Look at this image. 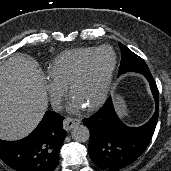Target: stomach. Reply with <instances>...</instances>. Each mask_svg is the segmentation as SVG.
<instances>
[{
    "label": "stomach",
    "instance_id": "stomach-1",
    "mask_svg": "<svg viewBox=\"0 0 171 171\" xmlns=\"http://www.w3.org/2000/svg\"><path fill=\"white\" fill-rule=\"evenodd\" d=\"M115 103H116V108H117L119 115L121 117L127 116L128 110L126 108V105L124 104V101L120 97L116 96Z\"/></svg>",
    "mask_w": 171,
    "mask_h": 171
}]
</instances>
